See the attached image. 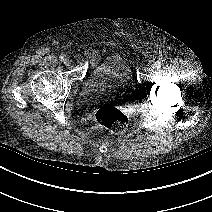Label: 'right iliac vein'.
Returning <instances> with one entry per match:
<instances>
[{
  "label": "right iliac vein",
  "mask_w": 212,
  "mask_h": 212,
  "mask_svg": "<svg viewBox=\"0 0 212 212\" xmlns=\"http://www.w3.org/2000/svg\"><path fill=\"white\" fill-rule=\"evenodd\" d=\"M64 64H65L66 66H69V65L71 64V59H70V58H65Z\"/></svg>",
  "instance_id": "63e3f726"
}]
</instances>
